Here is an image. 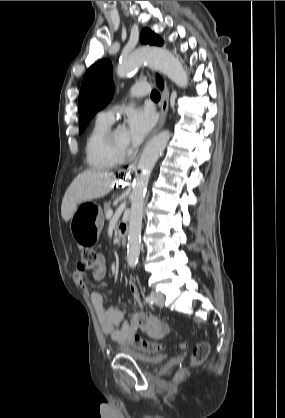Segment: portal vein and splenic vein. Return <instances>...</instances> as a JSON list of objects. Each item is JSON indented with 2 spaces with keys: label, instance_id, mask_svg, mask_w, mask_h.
<instances>
[{
  "label": "portal vein and splenic vein",
  "instance_id": "portal-vein-and-splenic-vein-1",
  "mask_svg": "<svg viewBox=\"0 0 285 418\" xmlns=\"http://www.w3.org/2000/svg\"><path fill=\"white\" fill-rule=\"evenodd\" d=\"M113 216V210H109L107 213H106V218L107 219H111V217Z\"/></svg>",
  "mask_w": 285,
  "mask_h": 418
}]
</instances>
